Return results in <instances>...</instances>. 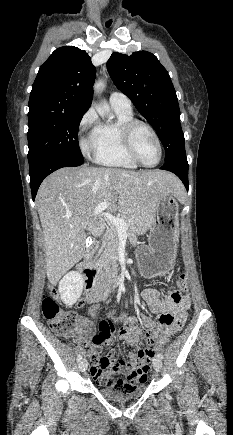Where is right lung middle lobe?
Returning <instances> with one entry per match:
<instances>
[{
  "mask_svg": "<svg viewBox=\"0 0 233 435\" xmlns=\"http://www.w3.org/2000/svg\"><path fill=\"white\" fill-rule=\"evenodd\" d=\"M84 113H47L28 117V161L60 156L84 163L78 129Z\"/></svg>",
  "mask_w": 233,
  "mask_h": 435,
  "instance_id": "dd1d6c3e",
  "label": "right lung middle lobe"
}]
</instances>
